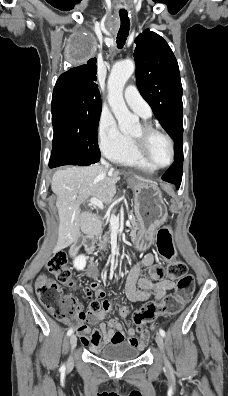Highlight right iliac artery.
<instances>
[{"instance_id": "obj_1", "label": "right iliac artery", "mask_w": 228, "mask_h": 396, "mask_svg": "<svg viewBox=\"0 0 228 396\" xmlns=\"http://www.w3.org/2000/svg\"><path fill=\"white\" fill-rule=\"evenodd\" d=\"M72 333H73V329L70 328V329L68 330V332H67V336H70ZM61 370H65V366H64V365L61 367Z\"/></svg>"}]
</instances>
